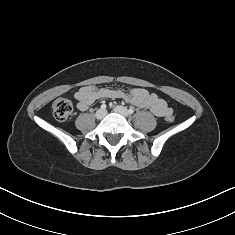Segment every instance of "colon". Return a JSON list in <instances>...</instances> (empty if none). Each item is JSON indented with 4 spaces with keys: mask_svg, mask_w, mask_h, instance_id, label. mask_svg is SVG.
<instances>
[{
    "mask_svg": "<svg viewBox=\"0 0 235 235\" xmlns=\"http://www.w3.org/2000/svg\"><path fill=\"white\" fill-rule=\"evenodd\" d=\"M54 117L59 121H64L70 117L73 112L72 103L66 98H58L52 105ZM166 121L171 123L174 121V115L169 114L166 116Z\"/></svg>",
    "mask_w": 235,
    "mask_h": 235,
    "instance_id": "obj_1",
    "label": "colon"
}]
</instances>
